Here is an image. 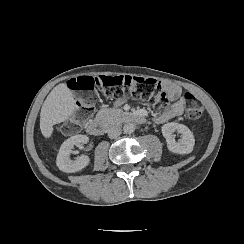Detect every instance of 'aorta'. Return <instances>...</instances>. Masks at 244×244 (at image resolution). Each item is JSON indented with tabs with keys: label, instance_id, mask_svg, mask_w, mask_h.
Here are the masks:
<instances>
[{
	"label": "aorta",
	"instance_id": "762f6f07",
	"mask_svg": "<svg viewBox=\"0 0 244 244\" xmlns=\"http://www.w3.org/2000/svg\"><path fill=\"white\" fill-rule=\"evenodd\" d=\"M123 131L126 134H131L135 131V127L133 123H125L123 126Z\"/></svg>",
	"mask_w": 244,
	"mask_h": 244
}]
</instances>
